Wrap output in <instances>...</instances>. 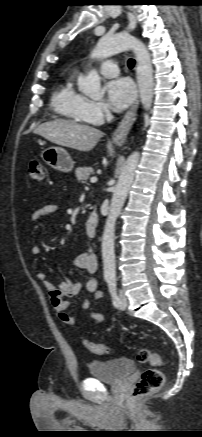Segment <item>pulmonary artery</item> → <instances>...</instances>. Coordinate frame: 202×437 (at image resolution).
Segmentation results:
<instances>
[{"label":"pulmonary artery","mask_w":202,"mask_h":437,"mask_svg":"<svg viewBox=\"0 0 202 437\" xmlns=\"http://www.w3.org/2000/svg\"><path fill=\"white\" fill-rule=\"evenodd\" d=\"M99 71L105 77H115L119 74L118 65L113 61H104L99 66Z\"/></svg>","instance_id":"pulmonary-artery-1"}]
</instances>
